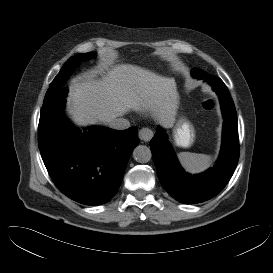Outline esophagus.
Returning a JSON list of instances; mask_svg holds the SVG:
<instances>
[{
    "label": "esophagus",
    "mask_w": 273,
    "mask_h": 273,
    "mask_svg": "<svg viewBox=\"0 0 273 273\" xmlns=\"http://www.w3.org/2000/svg\"><path fill=\"white\" fill-rule=\"evenodd\" d=\"M138 135L142 141L148 142L153 137V132L148 128H142L139 130Z\"/></svg>",
    "instance_id": "34e87169"
}]
</instances>
